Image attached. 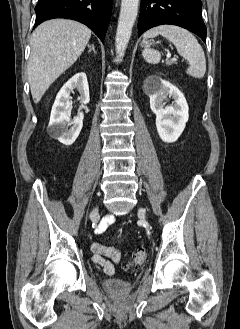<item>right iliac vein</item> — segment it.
I'll return each mask as SVG.
<instances>
[{"label":"right iliac vein","mask_w":240,"mask_h":329,"mask_svg":"<svg viewBox=\"0 0 240 329\" xmlns=\"http://www.w3.org/2000/svg\"><path fill=\"white\" fill-rule=\"evenodd\" d=\"M98 214H99V208L95 207L90 213V218L94 219L98 216Z\"/></svg>","instance_id":"63e3f726"}]
</instances>
